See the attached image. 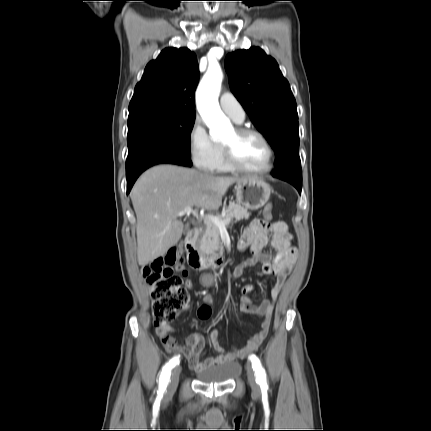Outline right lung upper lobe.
Listing matches in <instances>:
<instances>
[{"instance_id":"1","label":"right lung upper lobe","mask_w":431,"mask_h":431,"mask_svg":"<svg viewBox=\"0 0 431 431\" xmlns=\"http://www.w3.org/2000/svg\"><path fill=\"white\" fill-rule=\"evenodd\" d=\"M197 58L187 48H166L145 68L129 104V118L147 113L195 115Z\"/></svg>"}]
</instances>
